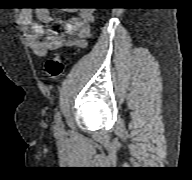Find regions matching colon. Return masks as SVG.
I'll use <instances>...</instances> for the list:
<instances>
[{"mask_svg": "<svg viewBox=\"0 0 192 180\" xmlns=\"http://www.w3.org/2000/svg\"><path fill=\"white\" fill-rule=\"evenodd\" d=\"M64 72V61L59 54L53 55L45 63V73L49 79H57Z\"/></svg>", "mask_w": 192, "mask_h": 180, "instance_id": "5ec220e1", "label": "colon"}]
</instances>
